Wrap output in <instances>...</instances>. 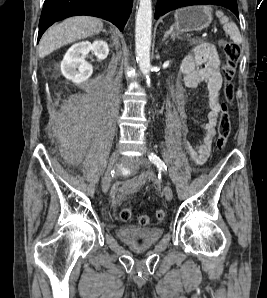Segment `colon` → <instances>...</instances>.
Instances as JSON below:
<instances>
[{"label": "colon", "instance_id": "obj_1", "mask_svg": "<svg viewBox=\"0 0 267 298\" xmlns=\"http://www.w3.org/2000/svg\"><path fill=\"white\" fill-rule=\"evenodd\" d=\"M224 54L225 64L223 66V75L225 78L224 92L227 101H230L233 96V86L231 80L234 76L236 65L240 57V47L234 42H222L221 43ZM231 133V121L228 111L227 103H223L221 107V116L218 124V135L216 140V146L218 149H223L228 141ZM155 218L161 221L165 218V211L158 209L155 211ZM119 217L123 222L136 221L139 225H147L150 222V217L142 215L134 218L132 210L129 207H124L119 212Z\"/></svg>", "mask_w": 267, "mask_h": 298}]
</instances>
